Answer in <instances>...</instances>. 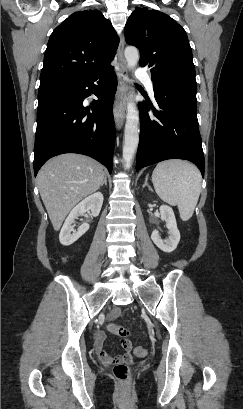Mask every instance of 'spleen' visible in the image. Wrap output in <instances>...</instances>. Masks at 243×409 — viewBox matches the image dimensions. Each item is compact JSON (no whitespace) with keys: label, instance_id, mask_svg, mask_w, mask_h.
I'll return each mask as SVG.
<instances>
[{"label":"spleen","instance_id":"spleen-1","mask_svg":"<svg viewBox=\"0 0 243 409\" xmlns=\"http://www.w3.org/2000/svg\"><path fill=\"white\" fill-rule=\"evenodd\" d=\"M157 195L170 205H177L183 221L189 220L201 191V174L191 163L168 160L159 163L152 174Z\"/></svg>","mask_w":243,"mask_h":409}]
</instances>
